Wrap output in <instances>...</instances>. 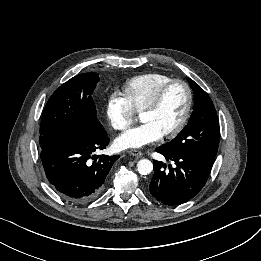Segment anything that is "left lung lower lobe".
Returning <instances> with one entry per match:
<instances>
[{
  "label": "left lung lower lobe",
  "mask_w": 261,
  "mask_h": 261,
  "mask_svg": "<svg viewBox=\"0 0 261 261\" xmlns=\"http://www.w3.org/2000/svg\"><path fill=\"white\" fill-rule=\"evenodd\" d=\"M156 151L167 160L175 162V168L154 160V176L150 182L152 196L167 206H176L193 198L205 185L212 165L194 158L184 151H171L158 147Z\"/></svg>",
  "instance_id": "left-lung-lower-lobe-1"
}]
</instances>
